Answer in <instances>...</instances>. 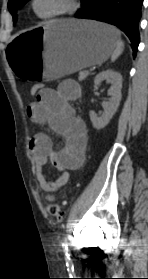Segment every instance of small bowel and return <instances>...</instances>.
<instances>
[{"label":"small bowel","instance_id":"obj_1","mask_svg":"<svg viewBox=\"0 0 148 279\" xmlns=\"http://www.w3.org/2000/svg\"><path fill=\"white\" fill-rule=\"evenodd\" d=\"M79 96V85L73 80H65L57 89L44 88L36 101L27 107V115L33 123L48 125L66 140L65 146L58 151L53 149L51 138L46 133H38L30 140L29 150L37 181L47 193L61 189L69 179V171L77 170L84 162L87 130L84 121L71 106V102ZM48 162L61 171L55 181L43 172Z\"/></svg>","mask_w":148,"mask_h":279}]
</instances>
